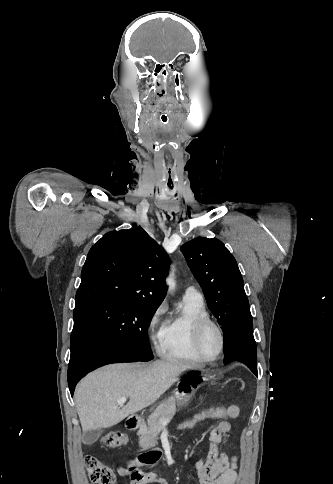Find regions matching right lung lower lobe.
<instances>
[{
	"mask_svg": "<svg viewBox=\"0 0 333 484\" xmlns=\"http://www.w3.org/2000/svg\"><path fill=\"white\" fill-rule=\"evenodd\" d=\"M70 347L68 385L71 395L77 382L97 367L115 362L137 361L120 342L86 322L74 326Z\"/></svg>",
	"mask_w": 333,
	"mask_h": 484,
	"instance_id": "obj_1",
	"label": "right lung lower lobe"
}]
</instances>
